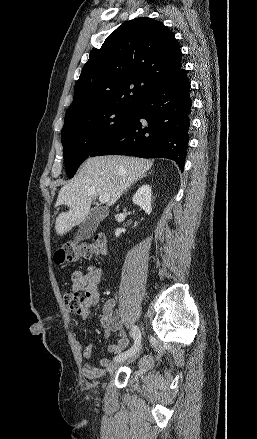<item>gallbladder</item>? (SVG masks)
Instances as JSON below:
<instances>
[{
    "instance_id": "gallbladder-1",
    "label": "gallbladder",
    "mask_w": 257,
    "mask_h": 439,
    "mask_svg": "<svg viewBox=\"0 0 257 439\" xmlns=\"http://www.w3.org/2000/svg\"><path fill=\"white\" fill-rule=\"evenodd\" d=\"M102 216L96 210H92L85 221L80 225L76 238L88 239L95 232Z\"/></svg>"
}]
</instances>
